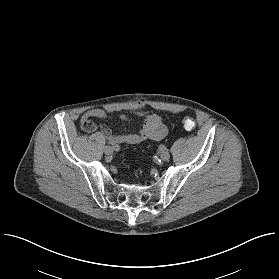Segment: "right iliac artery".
I'll list each match as a JSON object with an SVG mask.
<instances>
[{"label": "right iliac artery", "mask_w": 279, "mask_h": 279, "mask_svg": "<svg viewBox=\"0 0 279 279\" xmlns=\"http://www.w3.org/2000/svg\"><path fill=\"white\" fill-rule=\"evenodd\" d=\"M112 149H113L114 151H119V150H120V146H119V145H113V146H112Z\"/></svg>", "instance_id": "obj_1"}]
</instances>
